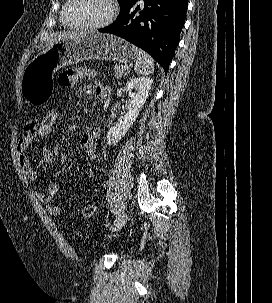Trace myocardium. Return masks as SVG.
I'll list each match as a JSON object with an SVG mask.
<instances>
[{
  "label": "myocardium",
  "instance_id": "1",
  "mask_svg": "<svg viewBox=\"0 0 272 303\" xmlns=\"http://www.w3.org/2000/svg\"><path fill=\"white\" fill-rule=\"evenodd\" d=\"M73 2V0H67L66 3L64 4L63 10H62V20L67 25L68 27L74 28V29H81V30H97V29H102L110 25L117 13H118V5L116 0H107L108 5H109V13L108 16L101 22L99 23H94V24H77L71 22L68 17H67V10L70 6V4Z\"/></svg>",
  "mask_w": 272,
  "mask_h": 303
}]
</instances>
